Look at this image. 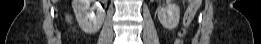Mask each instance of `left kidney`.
<instances>
[{
  "instance_id": "obj_1",
  "label": "left kidney",
  "mask_w": 261,
  "mask_h": 44,
  "mask_svg": "<svg viewBox=\"0 0 261 44\" xmlns=\"http://www.w3.org/2000/svg\"><path fill=\"white\" fill-rule=\"evenodd\" d=\"M158 19L164 28L172 30L177 27L180 20V8L172 3L158 9Z\"/></svg>"
}]
</instances>
